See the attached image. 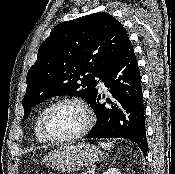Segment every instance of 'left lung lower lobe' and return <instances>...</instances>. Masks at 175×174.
Segmentation results:
<instances>
[{
	"instance_id": "1",
	"label": "left lung lower lobe",
	"mask_w": 175,
	"mask_h": 174,
	"mask_svg": "<svg viewBox=\"0 0 175 174\" xmlns=\"http://www.w3.org/2000/svg\"><path fill=\"white\" fill-rule=\"evenodd\" d=\"M102 81L112 99L100 104V95L96 94L91 100L97 121L87 138L129 139L138 144L146 157L148 144L141 76L131 43Z\"/></svg>"
}]
</instances>
